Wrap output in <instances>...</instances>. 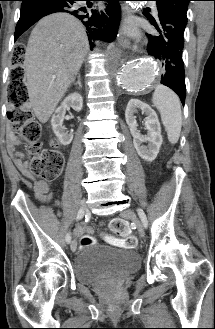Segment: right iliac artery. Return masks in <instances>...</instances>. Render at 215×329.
<instances>
[{
    "label": "right iliac artery",
    "mask_w": 215,
    "mask_h": 329,
    "mask_svg": "<svg viewBox=\"0 0 215 329\" xmlns=\"http://www.w3.org/2000/svg\"><path fill=\"white\" fill-rule=\"evenodd\" d=\"M83 215H84V212L82 211V210H79L78 211V214H77V216H76V220H80L82 217H83ZM66 242L67 243H70L71 242V234L70 233H68L67 235H66Z\"/></svg>",
    "instance_id": "82829eb1"
}]
</instances>
